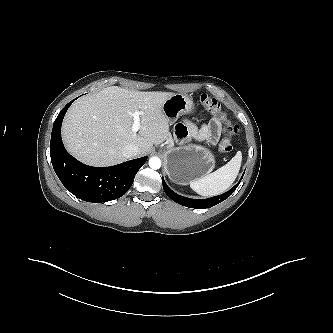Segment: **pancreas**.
I'll return each instance as SVG.
<instances>
[{"mask_svg":"<svg viewBox=\"0 0 333 333\" xmlns=\"http://www.w3.org/2000/svg\"><path fill=\"white\" fill-rule=\"evenodd\" d=\"M168 145V148H172L173 147V140L172 139H168L166 142Z\"/></svg>","mask_w":333,"mask_h":333,"instance_id":"1","label":"pancreas"}]
</instances>
